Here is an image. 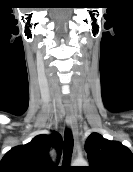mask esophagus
Listing matches in <instances>:
<instances>
[{
    "mask_svg": "<svg viewBox=\"0 0 133 172\" xmlns=\"http://www.w3.org/2000/svg\"><path fill=\"white\" fill-rule=\"evenodd\" d=\"M66 123L72 131V134L74 137V142H75V150H76L78 129H77V124H76L72 114L69 111H67V113H66Z\"/></svg>",
    "mask_w": 133,
    "mask_h": 172,
    "instance_id": "obj_1",
    "label": "esophagus"
}]
</instances>
